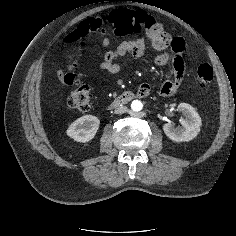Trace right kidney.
Wrapping results in <instances>:
<instances>
[{"label": "right kidney", "mask_w": 236, "mask_h": 236, "mask_svg": "<svg viewBox=\"0 0 236 236\" xmlns=\"http://www.w3.org/2000/svg\"><path fill=\"white\" fill-rule=\"evenodd\" d=\"M100 120L92 115H85L75 120L67 129L66 133L70 138L80 143L92 140L98 129Z\"/></svg>", "instance_id": "1"}]
</instances>
